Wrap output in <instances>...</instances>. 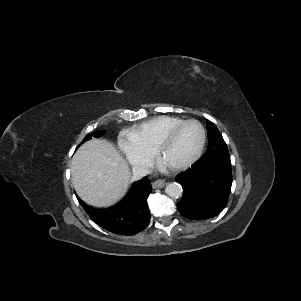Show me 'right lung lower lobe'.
Returning <instances> with one entry per match:
<instances>
[{"instance_id": "obj_1", "label": "right lung lower lobe", "mask_w": 301, "mask_h": 301, "mask_svg": "<svg viewBox=\"0 0 301 301\" xmlns=\"http://www.w3.org/2000/svg\"><path fill=\"white\" fill-rule=\"evenodd\" d=\"M152 187L147 177L135 182L127 195L115 206L109 208H93L78 198L92 221L103 229L125 236L142 231L150 221L147 198Z\"/></svg>"}]
</instances>
